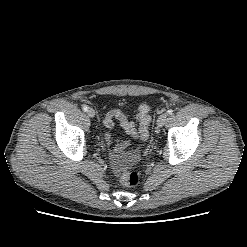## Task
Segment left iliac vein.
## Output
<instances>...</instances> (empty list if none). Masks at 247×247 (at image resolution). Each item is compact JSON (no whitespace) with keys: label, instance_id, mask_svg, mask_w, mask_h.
Masks as SVG:
<instances>
[{"label":"left iliac vein","instance_id":"left-iliac-vein-1","mask_svg":"<svg viewBox=\"0 0 247 247\" xmlns=\"http://www.w3.org/2000/svg\"><path fill=\"white\" fill-rule=\"evenodd\" d=\"M167 119V114H161L157 119V125L158 127H162Z\"/></svg>","mask_w":247,"mask_h":247}]
</instances>
